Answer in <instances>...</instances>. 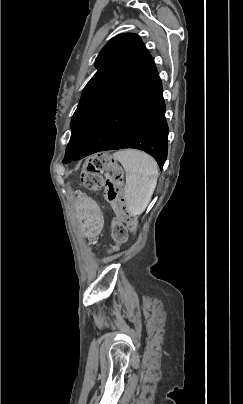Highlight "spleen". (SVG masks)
Returning a JSON list of instances; mask_svg holds the SVG:
<instances>
[{
    "instance_id": "spleen-1",
    "label": "spleen",
    "mask_w": 243,
    "mask_h": 404,
    "mask_svg": "<svg viewBox=\"0 0 243 404\" xmlns=\"http://www.w3.org/2000/svg\"><path fill=\"white\" fill-rule=\"evenodd\" d=\"M113 158L122 164L126 172L125 200L129 214L141 216L146 210L156 188L158 166L152 158L140 150H121Z\"/></svg>"
}]
</instances>
